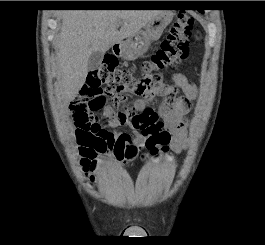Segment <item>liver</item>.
<instances>
[{
    "mask_svg": "<svg viewBox=\"0 0 265 245\" xmlns=\"http://www.w3.org/2000/svg\"><path fill=\"white\" fill-rule=\"evenodd\" d=\"M159 10H69L57 39L58 81L62 98L78 94L88 72L92 52L105 53L139 32ZM122 22L121 29L117 27Z\"/></svg>",
    "mask_w": 265,
    "mask_h": 245,
    "instance_id": "liver-1",
    "label": "liver"
}]
</instances>
